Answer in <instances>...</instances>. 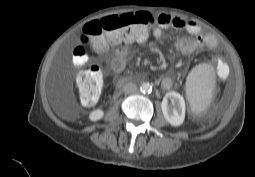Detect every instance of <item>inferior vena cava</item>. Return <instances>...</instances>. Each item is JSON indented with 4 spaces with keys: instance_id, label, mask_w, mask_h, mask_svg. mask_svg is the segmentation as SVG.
I'll return each instance as SVG.
<instances>
[{
    "instance_id": "602c4592",
    "label": "inferior vena cava",
    "mask_w": 255,
    "mask_h": 177,
    "mask_svg": "<svg viewBox=\"0 0 255 177\" xmlns=\"http://www.w3.org/2000/svg\"><path fill=\"white\" fill-rule=\"evenodd\" d=\"M137 91V86L133 83H126L123 87V92L125 94H134Z\"/></svg>"
}]
</instances>
